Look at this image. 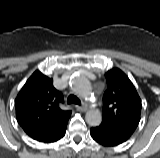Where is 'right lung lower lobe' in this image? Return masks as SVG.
I'll list each match as a JSON object with an SVG mask.
<instances>
[{
	"instance_id": "obj_1",
	"label": "right lung lower lobe",
	"mask_w": 160,
	"mask_h": 158,
	"mask_svg": "<svg viewBox=\"0 0 160 158\" xmlns=\"http://www.w3.org/2000/svg\"><path fill=\"white\" fill-rule=\"evenodd\" d=\"M67 127V126H66ZM66 127L57 135L47 139L46 141H44L43 143H53L58 141L59 139H61L64 135H65V131H66Z\"/></svg>"
}]
</instances>
